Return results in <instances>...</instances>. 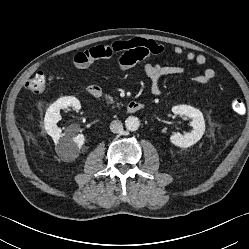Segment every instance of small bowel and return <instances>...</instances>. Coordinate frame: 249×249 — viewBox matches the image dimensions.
I'll return each instance as SVG.
<instances>
[{
    "instance_id": "obj_1",
    "label": "small bowel",
    "mask_w": 249,
    "mask_h": 249,
    "mask_svg": "<svg viewBox=\"0 0 249 249\" xmlns=\"http://www.w3.org/2000/svg\"><path fill=\"white\" fill-rule=\"evenodd\" d=\"M163 51L164 47L153 40L134 38L118 40L108 45L84 50L75 55L74 61L80 70H87L94 61L108 59L113 55H118L119 68L123 71L142 63L144 72L149 79L150 92L158 96L162 94L160 81L163 77L182 75L186 72V69L182 66L165 65L163 63L153 64L149 61L152 56L159 55ZM173 51L176 55L183 53L180 46L174 47ZM185 57L188 61L195 62L198 66L203 67L202 72L194 76V81L197 84L205 85L215 77V71L212 68L205 67L206 57L204 55L190 51L186 53Z\"/></svg>"
}]
</instances>
